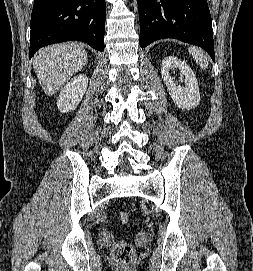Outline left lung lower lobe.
Wrapping results in <instances>:
<instances>
[{
	"label": "left lung lower lobe",
	"mask_w": 253,
	"mask_h": 271,
	"mask_svg": "<svg viewBox=\"0 0 253 271\" xmlns=\"http://www.w3.org/2000/svg\"><path fill=\"white\" fill-rule=\"evenodd\" d=\"M141 47L174 38L202 47L213 61L212 21L206 0H137Z\"/></svg>",
	"instance_id": "left-lung-lower-lobe-1"
}]
</instances>
